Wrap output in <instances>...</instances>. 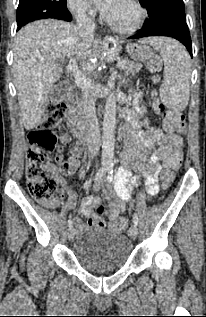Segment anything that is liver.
Masks as SVG:
<instances>
[{"mask_svg":"<svg viewBox=\"0 0 206 317\" xmlns=\"http://www.w3.org/2000/svg\"><path fill=\"white\" fill-rule=\"evenodd\" d=\"M101 54L100 42L83 39L72 24L48 19L23 27L15 40L13 76L24 127L31 130L41 122L63 72L59 60L73 57L89 71L97 64L85 62Z\"/></svg>","mask_w":206,"mask_h":317,"instance_id":"obj_1","label":"liver"}]
</instances>
